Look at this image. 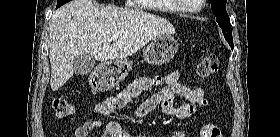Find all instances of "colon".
I'll return each mask as SVG.
<instances>
[{"instance_id": "1", "label": "colon", "mask_w": 280, "mask_h": 137, "mask_svg": "<svg viewBox=\"0 0 280 137\" xmlns=\"http://www.w3.org/2000/svg\"><path fill=\"white\" fill-rule=\"evenodd\" d=\"M219 69V59L218 57L211 53L207 54L197 65V73L201 78H209L214 76ZM133 95L129 92L121 93V99L125 101H131ZM55 115L59 119H67L73 113L75 106L72 102L67 100L65 97H56L52 102ZM200 137H223V133L217 126L205 129Z\"/></svg>"}]
</instances>
